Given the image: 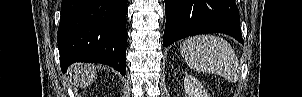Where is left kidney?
<instances>
[{
	"label": "left kidney",
	"mask_w": 302,
	"mask_h": 97,
	"mask_svg": "<svg viewBox=\"0 0 302 97\" xmlns=\"http://www.w3.org/2000/svg\"><path fill=\"white\" fill-rule=\"evenodd\" d=\"M184 90L186 97H209L202 83L194 76L187 74L184 78Z\"/></svg>",
	"instance_id": "left-kidney-1"
}]
</instances>
